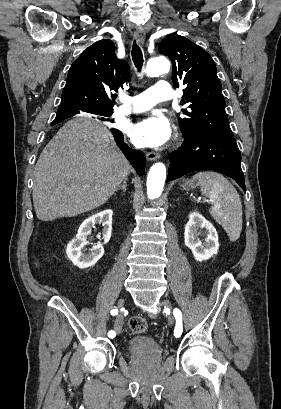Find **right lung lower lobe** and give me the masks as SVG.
I'll return each mask as SVG.
<instances>
[{
	"label": "right lung lower lobe",
	"mask_w": 281,
	"mask_h": 409,
	"mask_svg": "<svg viewBox=\"0 0 281 409\" xmlns=\"http://www.w3.org/2000/svg\"><path fill=\"white\" fill-rule=\"evenodd\" d=\"M78 112L75 111H62L58 112L55 120L62 121L68 117L73 116ZM116 144L122 150L127 159L131 162L138 175H142L145 169V156L142 151L129 148L123 140V134L117 129H111Z\"/></svg>",
	"instance_id": "98d812e1"
}]
</instances>
